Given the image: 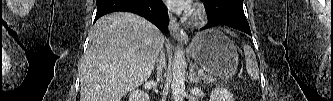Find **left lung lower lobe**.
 Returning <instances> with one entry per match:
<instances>
[{
	"instance_id": "1",
	"label": "left lung lower lobe",
	"mask_w": 333,
	"mask_h": 101,
	"mask_svg": "<svg viewBox=\"0 0 333 101\" xmlns=\"http://www.w3.org/2000/svg\"><path fill=\"white\" fill-rule=\"evenodd\" d=\"M209 15L210 28L226 25L251 35L249 24L243 10V0H203Z\"/></svg>"
}]
</instances>
